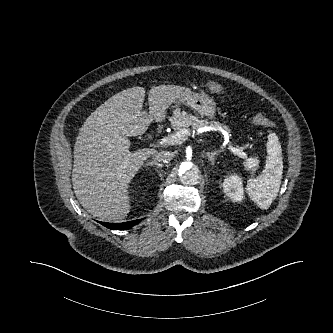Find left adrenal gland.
<instances>
[{
  "label": "left adrenal gland",
  "instance_id": "1",
  "mask_svg": "<svg viewBox=\"0 0 333 333\" xmlns=\"http://www.w3.org/2000/svg\"><path fill=\"white\" fill-rule=\"evenodd\" d=\"M217 152H211V153H207L208 159L211 162L212 165H214L215 162V156H216Z\"/></svg>",
  "mask_w": 333,
  "mask_h": 333
}]
</instances>
